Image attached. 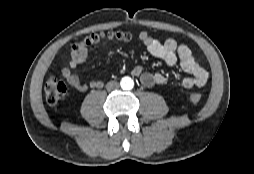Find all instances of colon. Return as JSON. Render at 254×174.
<instances>
[{"label":"colon","mask_w":254,"mask_h":174,"mask_svg":"<svg viewBox=\"0 0 254 174\" xmlns=\"http://www.w3.org/2000/svg\"><path fill=\"white\" fill-rule=\"evenodd\" d=\"M131 39V35L126 32H100L94 33L86 37L83 41L76 43L73 46V50H83L88 49L89 47L95 46L102 41H118L126 42ZM67 92L66 84L58 78H49L44 85V93L46 101L49 104H56L60 101ZM189 100L197 104L201 101V95L199 93H191L189 95Z\"/></svg>","instance_id":"colon-1"}]
</instances>
